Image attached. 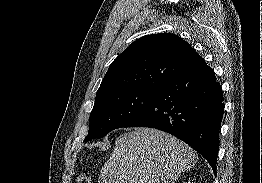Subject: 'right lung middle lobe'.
<instances>
[{
  "label": "right lung middle lobe",
  "mask_w": 262,
  "mask_h": 183,
  "mask_svg": "<svg viewBox=\"0 0 262 183\" xmlns=\"http://www.w3.org/2000/svg\"><path fill=\"white\" fill-rule=\"evenodd\" d=\"M154 89L119 90L96 97L84 141L105 136L138 116L156 95Z\"/></svg>",
  "instance_id": "1"
}]
</instances>
